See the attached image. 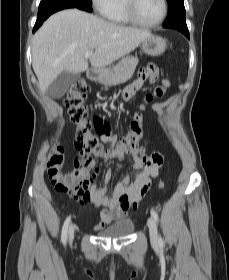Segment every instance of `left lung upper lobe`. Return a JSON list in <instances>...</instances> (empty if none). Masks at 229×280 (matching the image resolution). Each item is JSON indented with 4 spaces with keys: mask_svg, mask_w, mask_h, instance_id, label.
Segmentation results:
<instances>
[{
    "mask_svg": "<svg viewBox=\"0 0 229 280\" xmlns=\"http://www.w3.org/2000/svg\"><path fill=\"white\" fill-rule=\"evenodd\" d=\"M168 1V15L163 27L186 22L184 0H167Z\"/></svg>",
    "mask_w": 229,
    "mask_h": 280,
    "instance_id": "5c2ea615",
    "label": "left lung upper lobe"
}]
</instances>
